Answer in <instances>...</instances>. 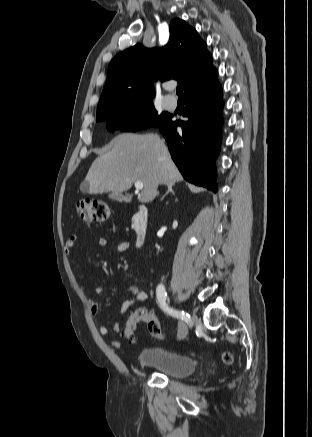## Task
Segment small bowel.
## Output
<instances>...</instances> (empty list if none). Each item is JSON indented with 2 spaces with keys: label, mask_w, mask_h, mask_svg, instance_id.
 <instances>
[{
  "label": "small bowel",
  "mask_w": 312,
  "mask_h": 437,
  "mask_svg": "<svg viewBox=\"0 0 312 437\" xmlns=\"http://www.w3.org/2000/svg\"><path fill=\"white\" fill-rule=\"evenodd\" d=\"M78 238L79 237L76 234H73L69 237V239L67 240L65 247H64L66 255L69 256L72 254V251L77 244ZM98 245L101 247H107L110 245V243L106 238H99ZM128 247H129V244L126 241H117V242H114L111 244V248L114 251L119 252V253L125 252L128 249ZM112 290H114L113 287H110V288L98 287V288H96L95 293L99 294L101 292L112 291ZM129 290H130L131 294L133 295V297L129 300L123 301L120 304L119 312L121 314L128 312L136 303L143 302L147 299V292L145 290L139 288L138 286L131 285L129 287ZM88 304H89V308H90V311L92 312V314H94V315L98 314V312H99L98 303L95 300L90 299L88 301ZM120 328H121L120 323H116L113 326V331L119 332ZM98 331L101 335H106L109 332V327L106 324H100L98 326ZM110 344L113 348H116V349H119L121 347L120 341L115 340V339L111 340Z\"/></svg>",
  "instance_id": "small-bowel-1"
}]
</instances>
